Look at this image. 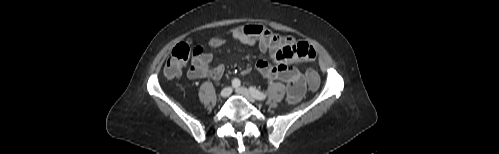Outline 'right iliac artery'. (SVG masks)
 <instances>
[{
    "label": "right iliac artery",
    "instance_id": "obj_1",
    "mask_svg": "<svg viewBox=\"0 0 499 154\" xmlns=\"http://www.w3.org/2000/svg\"><path fill=\"white\" fill-rule=\"evenodd\" d=\"M239 86H240V80H239V79H237V78L233 79V80H232V87L236 89V88H238Z\"/></svg>",
    "mask_w": 499,
    "mask_h": 154
}]
</instances>
